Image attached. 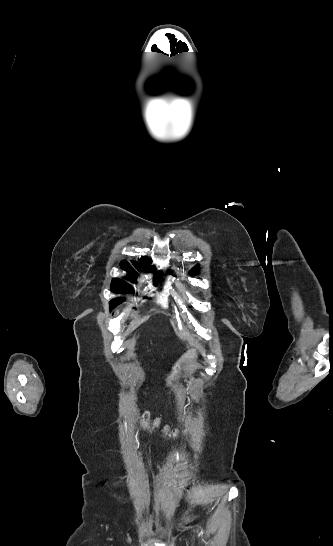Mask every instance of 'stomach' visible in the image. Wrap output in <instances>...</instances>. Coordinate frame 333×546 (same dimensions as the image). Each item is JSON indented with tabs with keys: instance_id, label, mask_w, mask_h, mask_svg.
Returning a JSON list of instances; mask_svg holds the SVG:
<instances>
[{
	"instance_id": "0dacf381",
	"label": "stomach",
	"mask_w": 333,
	"mask_h": 546,
	"mask_svg": "<svg viewBox=\"0 0 333 546\" xmlns=\"http://www.w3.org/2000/svg\"><path fill=\"white\" fill-rule=\"evenodd\" d=\"M197 357V351L196 350H191L189 351L187 354H185L184 356H182L178 362H176V364H174V366L172 367V372L171 374L169 375L170 377V380H173L174 378H177L180 374V372L182 371L183 367H184V362L187 360V359H194Z\"/></svg>"
}]
</instances>
